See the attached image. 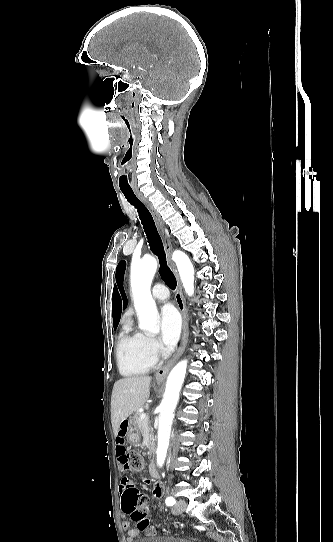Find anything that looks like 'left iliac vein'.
Masks as SVG:
<instances>
[{
  "instance_id": "4c4485c4",
  "label": "left iliac vein",
  "mask_w": 333,
  "mask_h": 542,
  "mask_svg": "<svg viewBox=\"0 0 333 542\" xmlns=\"http://www.w3.org/2000/svg\"><path fill=\"white\" fill-rule=\"evenodd\" d=\"M187 507V503L185 500H178L173 507V513L180 514L182 513Z\"/></svg>"
}]
</instances>
